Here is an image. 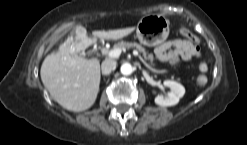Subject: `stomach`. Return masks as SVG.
<instances>
[{
	"label": "stomach",
	"mask_w": 247,
	"mask_h": 145,
	"mask_svg": "<svg viewBox=\"0 0 247 145\" xmlns=\"http://www.w3.org/2000/svg\"><path fill=\"white\" fill-rule=\"evenodd\" d=\"M170 21L162 15L144 16L138 23L136 35L141 44L153 47L163 43L169 35Z\"/></svg>",
	"instance_id": "0dacf381"
}]
</instances>
